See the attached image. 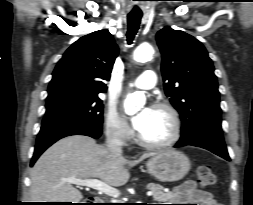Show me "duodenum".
<instances>
[{"instance_id": "duodenum-1", "label": "duodenum", "mask_w": 253, "mask_h": 205, "mask_svg": "<svg viewBox=\"0 0 253 205\" xmlns=\"http://www.w3.org/2000/svg\"><path fill=\"white\" fill-rule=\"evenodd\" d=\"M93 201L96 203V204H100V202L102 201L101 198L99 197H94L93 198Z\"/></svg>"}]
</instances>
